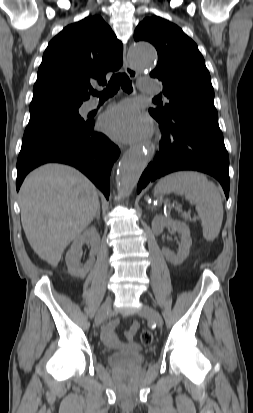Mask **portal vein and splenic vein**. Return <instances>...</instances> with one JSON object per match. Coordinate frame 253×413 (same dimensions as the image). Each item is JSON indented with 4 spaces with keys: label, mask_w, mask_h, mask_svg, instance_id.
I'll return each mask as SVG.
<instances>
[{
    "label": "portal vein and splenic vein",
    "mask_w": 253,
    "mask_h": 413,
    "mask_svg": "<svg viewBox=\"0 0 253 413\" xmlns=\"http://www.w3.org/2000/svg\"><path fill=\"white\" fill-rule=\"evenodd\" d=\"M183 215H184V216H189V215H188V214H186V213H183Z\"/></svg>",
    "instance_id": "18ae733b"
}]
</instances>
